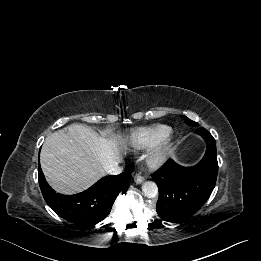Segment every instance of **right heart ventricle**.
Returning <instances> with one entry per match:
<instances>
[{
    "instance_id": "e07e8e85",
    "label": "right heart ventricle",
    "mask_w": 261,
    "mask_h": 261,
    "mask_svg": "<svg viewBox=\"0 0 261 261\" xmlns=\"http://www.w3.org/2000/svg\"><path fill=\"white\" fill-rule=\"evenodd\" d=\"M169 133L170 128L165 125L140 128L131 134L129 144L136 150H146L157 145Z\"/></svg>"
}]
</instances>
